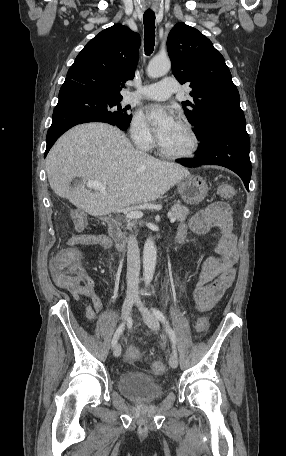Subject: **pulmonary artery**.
I'll return each mask as SVG.
<instances>
[{
    "label": "pulmonary artery",
    "mask_w": 286,
    "mask_h": 456,
    "mask_svg": "<svg viewBox=\"0 0 286 456\" xmlns=\"http://www.w3.org/2000/svg\"><path fill=\"white\" fill-rule=\"evenodd\" d=\"M177 92V83L173 77H165L160 82L139 88L132 97L163 101Z\"/></svg>",
    "instance_id": "e3ab8cb5"
}]
</instances>
